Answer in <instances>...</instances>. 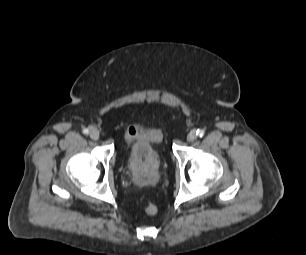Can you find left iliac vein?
Segmentation results:
<instances>
[{
  "mask_svg": "<svg viewBox=\"0 0 306 255\" xmlns=\"http://www.w3.org/2000/svg\"><path fill=\"white\" fill-rule=\"evenodd\" d=\"M196 138H197V135H196L195 131H191V132H189V134L187 135V140H188L189 142L195 141Z\"/></svg>",
  "mask_w": 306,
  "mask_h": 255,
  "instance_id": "4c4485c4",
  "label": "left iliac vein"
}]
</instances>
